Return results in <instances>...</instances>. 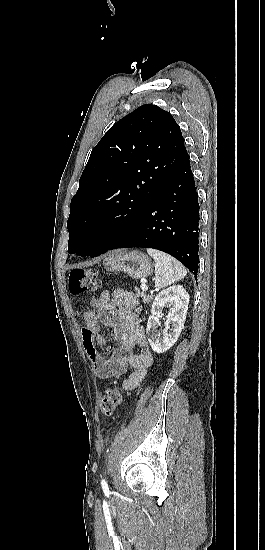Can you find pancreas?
<instances>
[{
	"mask_svg": "<svg viewBox=\"0 0 265 550\" xmlns=\"http://www.w3.org/2000/svg\"><path fill=\"white\" fill-rule=\"evenodd\" d=\"M135 292H136V295L138 297L142 298V300L145 304H149L153 299V295H149V294H145L143 292H140V289L138 287L135 288Z\"/></svg>",
	"mask_w": 265,
	"mask_h": 550,
	"instance_id": "cf45deb5",
	"label": "pancreas"
}]
</instances>
